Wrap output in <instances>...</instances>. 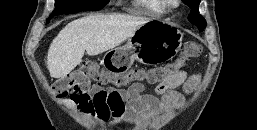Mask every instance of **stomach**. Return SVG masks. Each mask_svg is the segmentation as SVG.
I'll return each mask as SVG.
<instances>
[{
	"label": "stomach",
	"instance_id": "0dacf381",
	"mask_svg": "<svg viewBox=\"0 0 257 130\" xmlns=\"http://www.w3.org/2000/svg\"><path fill=\"white\" fill-rule=\"evenodd\" d=\"M182 37L180 30L170 23L149 21L134 32L125 46L109 50L103 62L111 70L126 69L134 60L148 65L162 63L178 53Z\"/></svg>",
	"mask_w": 257,
	"mask_h": 130
}]
</instances>
